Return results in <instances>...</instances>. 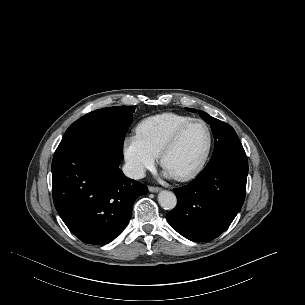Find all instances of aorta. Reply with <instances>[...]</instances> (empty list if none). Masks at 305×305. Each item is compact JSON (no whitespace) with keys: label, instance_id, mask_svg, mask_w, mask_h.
Wrapping results in <instances>:
<instances>
[{"label":"aorta","instance_id":"obj_1","mask_svg":"<svg viewBox=\"0 0 305 305\" xmlns=\"http://www.w3.org/2000/svg\"><path fill=\"white\" fill-rule=\"evenodd\" d=\"M158 202L166 210H172L177 204V198L171 191L163 190L158 194Z\"/></svg>","mask_w":305,"mask_h":305}]
</instances>
